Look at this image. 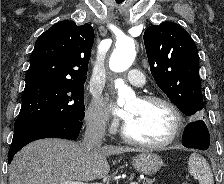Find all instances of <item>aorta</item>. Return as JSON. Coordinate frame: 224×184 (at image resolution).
Instances as JSON below:
<instances>
[{"mask_svg": "<svg viewBox=\"0 0 224 184\" xmlns=\"http://www.w3.org/2000/svg\"><path fill=\"white\" fill-rule=\"evenodd\" d=\"M136 56L135 42L129 37H124L116 42V48L113 50L109 68L116 73L126 71L133 63ZM115 87L118 89V104L123 105L125 100L134 96V92L125 85L122 79L115 81Z\"/></svg>", "mask_w": 224, "mask_h": 184, "instance_id": "1", "label": "aorta"}]
</instances>
